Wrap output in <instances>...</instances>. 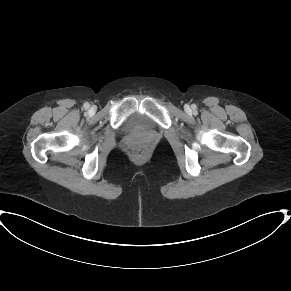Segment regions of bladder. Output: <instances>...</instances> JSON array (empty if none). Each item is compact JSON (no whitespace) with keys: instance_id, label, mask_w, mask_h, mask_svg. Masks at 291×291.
I'll list each match as a JSON object with an SVG mask.
<instances>
[{"instance_id":"1","label":"bladder","mask_w":291,"mask_h":291,"mask_svg":"<svg viewBox=\"0 0 291 291\" xmlns=\"http://www.w3.org/2000/svg\"><path fill=\"white\" fill-rule=\"evenodd\" d=\"M146 119L144 118V116L142 115H136L134 117L129 118L126 121V128L128 130H136L141 128L144 123H145Z\"/></svg>"}]
</instances>
